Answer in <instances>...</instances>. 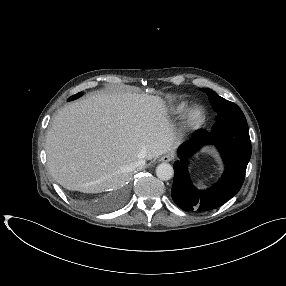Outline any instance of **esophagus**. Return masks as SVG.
<instances>
[{"label":"esophagus","instance_id":"1","mask_svg":"<svg viewBox=\"0 0 286 286\" xmlns=\"http://www.w3.org/2000/svg\"><path fill=\"white\" fill-rule=\"evenodd\" d=\"M172 159H173V156H172V155L166 154V155H163V156L160 158V161H162V162H170Z\"/></svg>","mask_w":286,"mask_h":286}]
</instances>
